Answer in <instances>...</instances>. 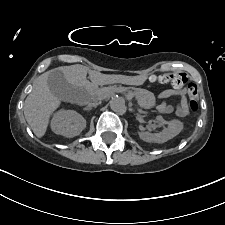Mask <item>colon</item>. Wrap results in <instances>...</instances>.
I'll return each instance as SVG.
<instances>
[{
  "label": "colon",
  "mask_w": 225,
  "mask_h": 225,
  "mask_svg": "<svg viewBox=\"0 0 225 225\" xmlns=\"http://www.w3.org/2000/svg\"><path fill=\"white\" fill-rule=\"evenodd\" d=\"M149 80L153 83H160V84L170 83L173 87L178 89L187 88L190 109L194 112L199 109V97L197 87L194 84L189 83L188 78L185 74L183 73L161 74V75L153 74L149 77Z\"/></svg>",
  "instance_id": "1"
}]
</instances>
